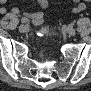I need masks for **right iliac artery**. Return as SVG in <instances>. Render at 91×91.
Here are the masks:
<instances>
[{
	"mask_svg": "<svg viewBox=\"0 0 91 91\" xmlns=\"http://www.w3.org/2000/svg\"><path fill=\"white\" fill-rule=\"evenodd\" d=\"M27 22H28V18L23 17V18L21 19V23H27Z\"/></svg>",
	"mask_w": 91,
	"mask_h": 91,
	"instance_id": "right-iliac-artery-1",
	"label": "right iliac artery"
}]
</instances>
